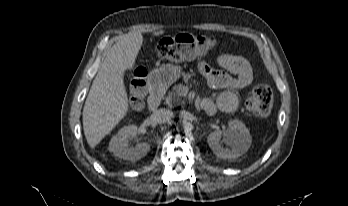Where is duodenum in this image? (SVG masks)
Listing matches in <instances>:
<instances>
[{
    "mask_svg": "<svg viewBox=\"0 0 348 206\" xmlns=\"http://www.w3.org/2000/svg\"><path fill=\"white\" fill-rule=\"evenodd\" d=\"M149 89H150V95L148 98V107L149 110L155 111L158 109L165 89L164 87L158 82L155 78H151L149 81Z\"/></svg>",
    "mask_w": 348,
    "mask_h": 206,
    "instance_id": "obj_1",
    "label": "duodenum"
}]
</instances>
